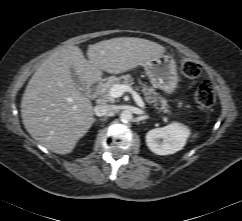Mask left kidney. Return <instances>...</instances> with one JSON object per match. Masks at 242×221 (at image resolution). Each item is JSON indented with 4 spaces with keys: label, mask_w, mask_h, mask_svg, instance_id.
<instances>
[{
    "label": "left kidney",
    "mask_w": 242,
    "mask_h": 221,
    "mask_svg": "<svg viewBox=\"0 0 242 221\" xmlns=\"http://www.w3.org/2000/svg\"><path fill=\"white\" fill-rule=\"evenodd\" d=\"M190 130L184 124L173 122L165 127L152 129L146 134V144L155 154L168 155L181 150Z\"/></svg>",
    "instance_id": "5707ae66"
}]
</instances>
